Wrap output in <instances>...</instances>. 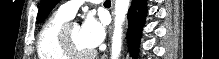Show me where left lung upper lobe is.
I'll list each match as a JSON object with an SVG mask.
<instances>
[{
  "label": "left lung upper lobe",
  "instance_id": "obj_1",
  "mask_svg": "<svg viewBox=\"0 0 219 59\" xmlns=\"http://www.w3.org/2000/svg\"><path fill=\"white\" fill-rule=\"evenodd\" d=\"M58 2L59 0H41L40 9L37 16V22H41Z\"/></svg>",
  "mask_w": 219,
  "mask_h": 59
}]
</instances>
